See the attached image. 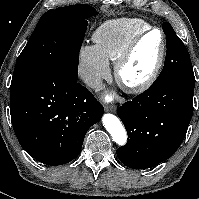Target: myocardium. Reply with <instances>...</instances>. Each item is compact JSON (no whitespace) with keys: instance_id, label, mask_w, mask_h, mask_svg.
Wrapping results in <instances>:
<instances>
[{"instance_id":"obj_1","label":"myocardium","mask_w":199,"mask_h":199,"mask_svg":"<svg viewBox=\"0 0 199 199\" xmlns=\"http://www.w3.org/2000/svg\"><path fill=\"white\" fill-rule=\"evenodd\" d=\"M153 32H158L161 35V51L158 57V60L151 71V73L142 81L137 83H128L124 80L122 76V70L125 64L128 62L130 57L132 56L134 50L138 46V44L149 34ZM167 53V39L165 36V33L157 27H150L141 33L137 34L124 48L122 53L119 55V57L115 61L114 65V74L115 79L117 83L120 85V87L125 90L128 93L132 94H138L146 91L149 89L155 81L158 79L160 72L163 68L165 58Z\"/></svg>"}]
</instances>
